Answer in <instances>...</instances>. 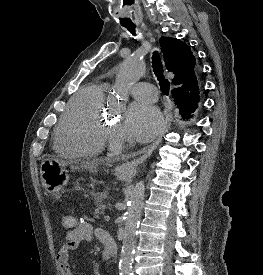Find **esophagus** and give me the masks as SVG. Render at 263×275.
I'll use <instances>...</instances> for the list:
<instances>
[{
  "mask_svg": "<svg viewBox=\"0 0 263 275\" xmlns=\"http://www.w3.org/2000/svg\"><path fill=\"white\" fill-rule=\"evenodd\" d=\"M168 126V119L165 118L163 130L158 138L148 147L143 149L142 155L139 158L121 164L118 168V171L126 177H133L137 172L138 165L145 161L148 157H150L153 151L158 147L159 143L162 140V136L168 130Z\"/></svg>",
  "mask_w": 263,
  "mask_h": 275,
  "instance_id": "1",
  "label": "esophagus"
}]
</instances>
